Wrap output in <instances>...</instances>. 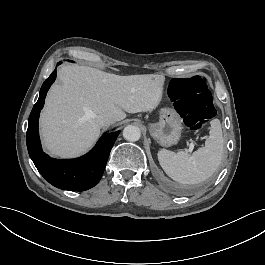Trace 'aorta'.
<instances>
[{"label":"aorta","instance_id":"762f6f07","mask_svg":"<svg viewBox=\"0 0 265 265\" xmlns=\"http://www.w3.org/2000/svg\"><path fill=\"white\" fill-rule=\"evenodd\" d=\"M140 136V130L135 126H127L123 129V137L127 141L135 142L139 140Z\"/></svg>","mask_w":265,"mask_h":265}]
</instances>
